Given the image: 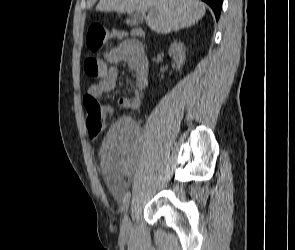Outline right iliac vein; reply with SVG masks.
<instances>
[{
	"label": "right iliac vein",
	"mask_w": 295,
	"mask_h": 250,
	"mask_svg": "<svg viewBox=\"0 0 295 250\" xmlns=\"http://www.w3.org/2000/svg\"><path fill=\"white\" fill-rule=\"evenodd\" d=\"M131 230V220L129 215H126L121 223L120 235L123 239H127Z\"/></svg>",
	"instance_id": "obj_1"
}]
</instances>
